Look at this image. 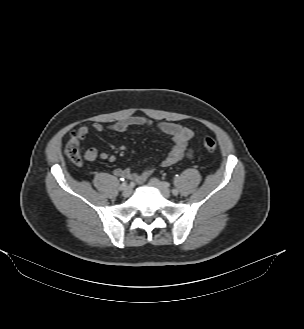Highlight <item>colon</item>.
<instances>
[{"label": "colon", "instance_id": "1", "mask_svg": "<svg viewBox=\"0 0 304 329\" xmlns=\"http://www.w3.org/2000/svg\"><path fill=\"white\" fill-rule=\"evenodd\" d=\"M77 132H72L65 144V154L73 162L81 161V142ZM203 146L208 151H214L217 147L216 140L213 137L207 136L202 141Z\"/></svg>", "mask_w": 304, "mask_h": 329}]
</instances>
